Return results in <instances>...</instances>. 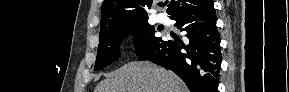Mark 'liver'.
Here are the masks:
<instances>
[{"label": "liver", "mask_w": 289, "mask_h": 92, "mask_svg": "<svg viewBox=\"0 0 289 92\" xmlns=\"http://www.w3.org/2000/svg\"><path fill=\"white\" fill-rule=\"evenodd\" d=\"M95 92H187V88L173 72L135 61L108 74Z\"/></svg>", "instance_id": "liver-1"}]
</instances>
